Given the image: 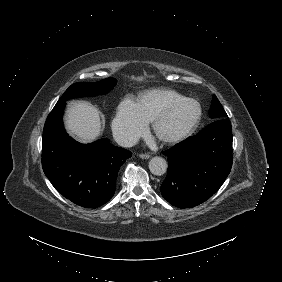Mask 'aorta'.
Masks as SVG:
<instances>
[{"label":"aorta","instance_id":"1","mask_svg":"<svg viewBox=\"0 0 282 282\" xmlns=\"http://www.w3.org/2000/svg\"><path fill=\"white\" fill-rule=\"evenodd\" d=\"M148 168L152 174L162 175L167 170V163L161 156H154L149 160Z\"/></svg>","mask_w":282,"mask_h":282}]
</instances>
